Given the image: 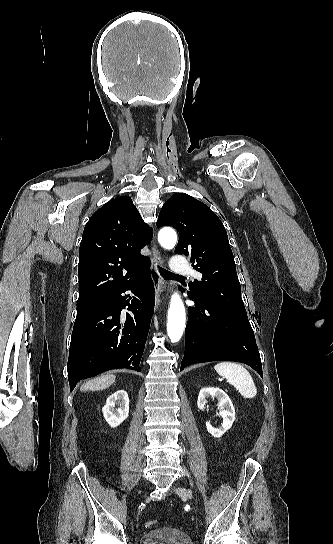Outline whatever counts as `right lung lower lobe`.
<instances>
[{
    "label": "right lung lower lobe",
    "instance_id": "98d812e1",
    "mask_svg": "<svg viewBox=\"0 0 333 544\" xmlns=\"http://www.w3.org/2000/svg\"><path fill=\"white\" fill-rule=\"evenodd\" d=\"M130 290L131 301L121 294ZM155 297L149 269L120 288L98 310L76 318L67 364L70 390L78 381L102 372L127 368L140 371ZM128 306L126 319L121 310Z\"/></svg>",
    "mask_w": 333,
    "mask_h": 544
}]
</instances>
